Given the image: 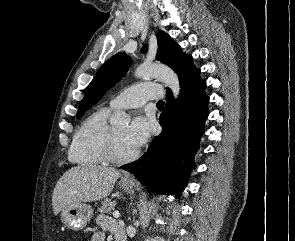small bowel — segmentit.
Listing matches in <instances>:
<instances>
[{"mask_svg":"<svg viewBox=\"0 0 295 241\" xmlns=\"http://www.w3.org/2000/svg\"><path fill=\"white\" fill-rule=\"evenodd\" d=\"M96 220L101 231L93 234L89 241H105V231H109L111 234L115 236V238L117 235L124 234L123 226L120 223L114 221L109 216L100 214L97 216Z\"/></svg>","mask_w":295,"mask_h":241,"instance_id":"obj_1","label":"small bowel"}]
</instances>
